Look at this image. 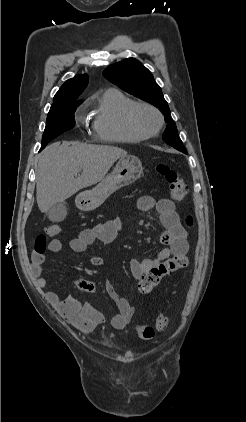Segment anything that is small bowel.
Instances as JSON below:
<instances>
[{
  "mask_svg": "<svg viewBox=\"0 0 246 422\" xmlns=\"http://www.w3.org/2000/svg\"><path fill=\"white\" fill-rule=\"evenodd\" d=\"M155 208L159 214V219L166 230L160 236V243L164 247L158 253L149 258L142 260L133 259L130 262V271L134 278L140 279L151 268L157 266L161 262L168 260L170 257L187 255L189 243L187 232L181 224L180 217L175 209V204L170 199H159L145 195L138 200V209L142 212ZM121 228L120 219H114L104 223L97 224L92 228L83 229L79 234L69 242L72 251L81 253L96 241L102 243L112 242L117 232ZM62 249V242L53 239L48 244V250L58 252ZM32 271L37 277V285L44 289L48 286V281L42 276L45 255L36 251L32 253ZM93 266H102L104 261L102 258L94 256L90 258ZM105 291L110 299L116 305L118 312L112 316L109 323L115 329H123L131 320L134 314V308L129 301L122 297L115 286L106 281ZM73 288L82 291H95L97 286L94 282L78 281L73 284ZM47 300L55 306L58 311L77 329L83 332H90L97 326L106 322L105 316L95 309L89 303H80L76 298L68 295L64 299H60L55 291L46 292Z\"/></svg>",
  "mask_w": 246,
  "mask_h": 422,
  "instance_id": "obj_1",
  "label": "small bowel"
}]
</instances>
